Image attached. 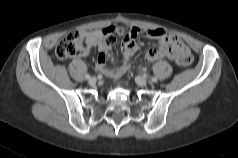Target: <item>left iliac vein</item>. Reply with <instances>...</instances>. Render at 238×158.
Here are the masks:
<instances>
[{
  "mask_svg": "<svg viewBox=\"0 0 238 158\" xmlns=\"http://www.w3.org/2000/svg\"><path fill=\"white\" fill-rule=\"evenodd\" d=\"M136 83L139 85V86H146L147 85V80L143 77H136Z\"/></svg>",
  "mask_w": 238,
  "mask_h": 158,
  "instance_id": "1",
  "label": "left iliac vein"
}]
</instances>
